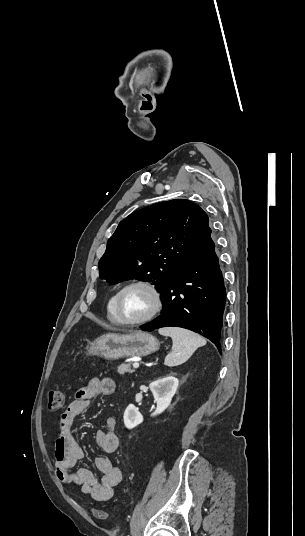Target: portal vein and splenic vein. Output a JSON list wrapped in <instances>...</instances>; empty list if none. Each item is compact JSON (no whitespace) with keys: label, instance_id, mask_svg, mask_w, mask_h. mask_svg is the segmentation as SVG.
<instances>
[{"label":"portal vein and splenic vein","instance_id":"obj_1","mask_svg":"<svg viewBox=\"0 0 305 536\" xmlns=\"http://www.w3.org/2000/svg\"><path fill=\"white\" fill-rule=\"evenodd\" d=\"M133 368H139L138 362H135V364H133Z\"/></svg>","mask_w":305,"mask_h":536}]
</instances>
